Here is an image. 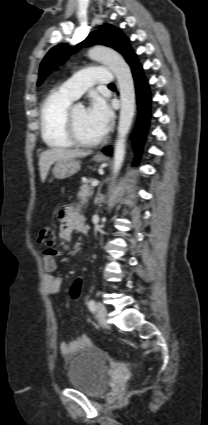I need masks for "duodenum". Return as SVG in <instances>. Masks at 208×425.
I'll return each instance as SVG.
<instances>
[{
    "label": "duodenum",
    "instance_id": "410a0bca",
    "mask_svg": "<svg viewBox=\"0 0 208 425\" xmlns=\"http://www.w3.org/2000/svg\"><path fill=\"white\" fill-rule=\"evenodd\" d=\"M80 231H81L82 233H86V228H85V226H84V225L81 227Z\"/></svg>",
    "mask_w": 208,
    "mask_h": 425
}]
</instances>
